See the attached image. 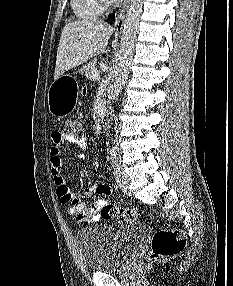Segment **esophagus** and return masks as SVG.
I'll return each instance as SVG.
<instances>
[{
	"label": "esophagus",
	"instance_id": "obj_1",
	"mask_svg": "<svg viewBox=\"0 0 233 286\" xmlns=\"http://www.w3.org/2000/svg\"><path fill=\"white\" fill-rule=\"evenodd\" d=\"M131 0H124L122 7L119 9L118 16L114 23V30L116 35H121L123 30L124 19L129 9Z\"/></svg>",
	"mask_w": 233,
	"mask_h": 286
}]
</instances>
